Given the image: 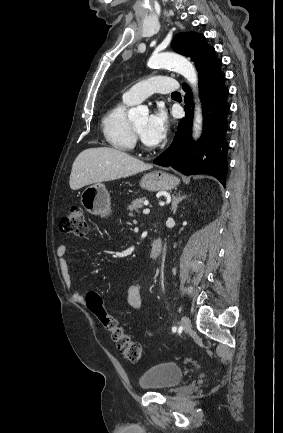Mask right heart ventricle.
Here are the masks:
<instances>
[{
	"instance_id": "e07e8e85",
	"label": "right heart ventricle",
	"mask_w": 283,
	"mask_h": 433,
	"mask_svg": "<svg viewBox=\"0 0 283 433\" xmlns=\"http://www.w3.org/2000/svg\"><path fill=\"white\" fill-rule=\"evenodd\" d=\"M132 104L124 99L107 111L101 121L102 132L112 147L123 150V146L133 145L135 135L128 119V109Z\"/></svg>"
}]
</instances>
